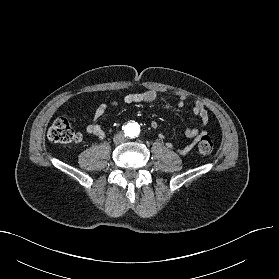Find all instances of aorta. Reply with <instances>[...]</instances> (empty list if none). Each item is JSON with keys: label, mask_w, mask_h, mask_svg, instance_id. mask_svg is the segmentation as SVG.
Segmentation results:
<instances>
[{"label": "aorta", "mask_w": 279, "mask_h": 279, "mask_svg": "<svg viewBox=\"0 0 279 279\" xmlns=\"http://www.w3.org/2000/svg\"><path fill=\"white\" fill-rule=\"evenodd\" d=\"M138 124L137 123H128L126 125V130L128 131L129 135L135 136L138 134Z\"/></svg>", "instance_id": "aorta-1"}]
</instances>
